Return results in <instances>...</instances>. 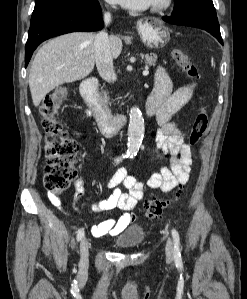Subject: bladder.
<instances>
[{
    "instance_id": "1",
    "label": "bladder",
    "mask_w": 247,
    "mask_h": 299,
    "mask_svg": "<svg viewBox=\"0 0 247 299\" xmlns=\"http://www.w3.org/2000/svg\"><path fill=\"white\" fill-rule=\"evenodd\" d=\"M145 240V231L140 226H132L121 233L115 240V245L121 249L138 248Z\"/></svg>"
}]
</instances>
